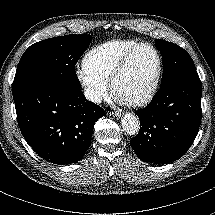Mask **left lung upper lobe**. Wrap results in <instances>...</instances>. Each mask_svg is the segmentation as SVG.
Returning <instances> with one entry per match:
<instances>
[{"mask_svg":"<svg viewBox=\"0 0 215 215\" xmlns=\"http://www.w3.org/2000/svg\"><path fill=\"white\" fill-rule=\"evenodd\" d=\"M155 46L160 50L163 61L161 86L190 71H196L192 58L178 45L157 39Z\"/></svg>","mask_w":215,"mask_h":215,"instance_id":"left-lung-upper-lobe-1","label":"left lung upper lobe"}]
</instances>
